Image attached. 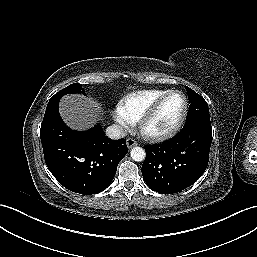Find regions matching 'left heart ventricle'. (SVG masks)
Returning a JSON list of instances; mask_svg holds the SVG:
<instances>
[{"instance_id": "left-heart-ventricle-1", "label": "left heart ventricle", "mask_w": 257, "mask_h": 257, "mask_svg": "<svg viewBox=\"0 0 257 257\" xmlns=\"http://www.w3.org/2000/svg\"><path fill=\"white\" fill-rule=\"evenodd\" d=\"M184 101L180 94L170 96L148 124V130L155 133L170 129L183 111Z\"/></svg>"}]
</instances>
